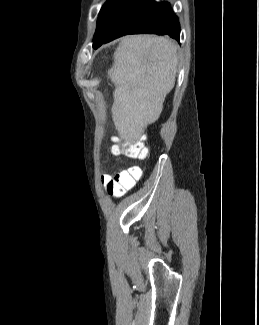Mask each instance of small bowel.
<instances>
[{
	"instance_id": "1",
	"label": "small bowel",
	"mask_w": 259,
	"mask_h": 325,
	"mask_svg": "<svg viewBox=\"0 0 259 325\" xmlns=\"http://www.w3.org/2000/svg\"><path fill=\"white\" fill-rule=\"evenodd\" d=\"M130 169H137L141 173V169L139 167H131ZM111 178L110 175L104 174L102 175V182L106 183Z\"/></svg>"
}]
</instances>
